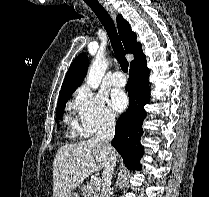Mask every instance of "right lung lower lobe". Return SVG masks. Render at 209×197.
<instances>
[{
  "label": "right lung lower lobe",
  "mask_w": 209,
  "mask_h": 197,
  "mask_svg": "<svg viewBox=\"0 0 209 197\" xmlns=\"http://www.w3.org/2000/svg\"><path fill=\"white\" fill-rule=\"evenodd\" d=\"M148 75L146 57L130 66L127 83L130 104L128 110L117 120L112 140V145L122 156L125 166L131 170L141 169L139 160L143 155V147L140 137L146 116L144 105L150 100Z\"/></svg>",
  "instance_id": "98d812e1"
}]
</instances>
